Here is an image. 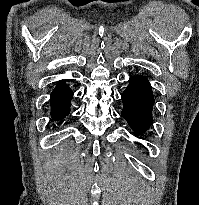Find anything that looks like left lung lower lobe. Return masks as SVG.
Wrapping results in <instances>:
<instances>
[{"label": "left lung lower lobe", "instance_id": "left-lung-lower-lobe-1", "mask_svg": "<svg viewBox=\"0 0 199 205\" xmlns=\"http://www.w3.org/2000/svg\"><path fill=\"white\" fill-rule=\"evenodd\" d=\"M121 98L123 101L122 117L128 122L136 136L143 134L152 124V109L155 102L147 78L131 77Z\"/></svg>", "mask_w": 199, "mask_h": 205}]
</instances>
